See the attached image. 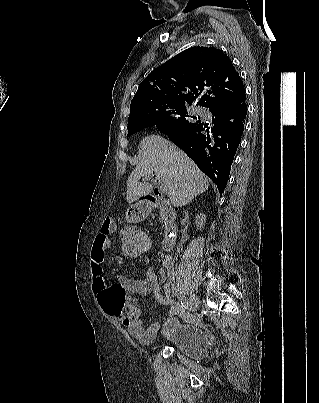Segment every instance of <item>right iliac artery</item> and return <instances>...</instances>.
I'll use <instances>...</instances> for the list:
<instances>
[{
  "instance_id": "1",
  "label": "right iliac artery",
  "mask_w": 319,
  "mask_h": 403,
  "mask_svg": "<svg viewBox=\"0 0 319 403\" xmlns=\"http://www.w3.org/2000/svg\"><path fill=\"white\" fill-rule=\"evenodd\" d=\"M176 295L179 298V300L181 301V304L184 307V309H188V302H187L186 298L183 295L179 294V293H177Z\"/></svg>"
}]
</instances>
